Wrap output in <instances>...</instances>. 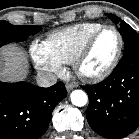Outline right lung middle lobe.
Segmentation results:
<instances>
[{
    "mask_svg": "<svg viewBox=\"0 0 139 139\" xmlns=\"http://www.w3.org/2000/svg\"><path fill=\"white\" fill-rule=\"evenodd\" d=\"M41 29L40 26L12 25L6 21H0V43L24 41Z\"/></svg>",
    "mask_w": 139,
    "mask_h": 139,
    "instance_id": "dd1d6c3e",
    "label": "right lung middle lobe"
}]
</instances>
